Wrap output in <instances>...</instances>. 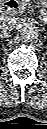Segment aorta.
Returning <instances> with one entry per match:
<instances>
[{
	"instance_id": "1",
	"label": "aorta",
	"mask_w": 47,
	"mask_h": 129,
	"mask_svg": "<svg viewBox=\"0 0 47 129\" xmlns=\"http://www.w3.org/2000/svg\"><path fill=\"white\" fill-rule=\"evenodd\" d=\"M19 32L20 35L27 41L35 40L39 36L38 26L30 21L23 23Z\"/></svg>"
}]
</instances>
